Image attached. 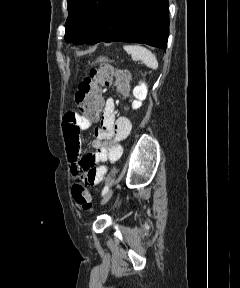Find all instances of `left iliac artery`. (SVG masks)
<instances>
[{
    "label": "left iliac artery",
    "mask_w": 240,
    "mask_h": 288,
    "mask_svg": "<svg viewBox=\"0 0 240 288\" xmlns=\"http://www.w3.org/2000/svg\"><path fill=\"white\" fill-rule=\"evenodd\" d=\"M108 189H109V187H108V185H106L102 190V193H101L102 196H104L107 193Z\"/></svg>",
    "instance_id": "44dca946"
}]
</instances>
